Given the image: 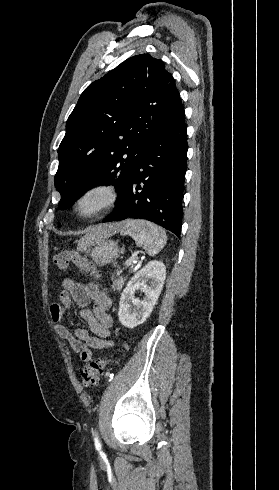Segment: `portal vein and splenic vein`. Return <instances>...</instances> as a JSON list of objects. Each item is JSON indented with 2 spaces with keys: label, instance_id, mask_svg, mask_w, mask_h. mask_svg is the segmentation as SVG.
<instances>
[{
  "label": "portal vein and splenic vein",
  "instance_id": "1",
  "mask_svg": "<svg viewBox=\"0 0 279 490\" xmlns=\"http://www.w3.org/2000/svg\"><path fill=\"white\" fill-rule=\"evenodd\" d=\"M133 260H126L125 266H132Z\"/></svg>",
  "mask_w": 279,
  "mask_h": 490
}]
</instances>
